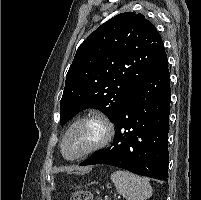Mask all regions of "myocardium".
Returning a JSON list of instances; mask_svg holds the SVG:
<instances>
[{
  "label": "myocardium",
  "mask_w": 201,
  "mask_h": 200,
  "mask_svg": "<svg viewBox=\"0 0 201 200\" xmlns=\"http://www.w3.org/2000/svg\"><path fill=\"white\" fill-rule=\"evenodd\" d=\"M89 122L95 123L100 126L101 131H102L101 137L93 146H91L89 149H87L83 153H81L75 157H68L65 153V145H66V141H67L69 134L78 125L83 124V123H89ZM114 135H115V127H114L112 121L107 116H105L104 114L99 113V112H91V113L85 114V115L81 116L80 118L76 119L65 132L64 137L62 139V143H61L62 155L65 159H67L69 161L80 160V159H82L92 153H95L101 149H104L105 147L110 145V143L114 139Z\"/></svg>",
  "instance_id": "myocardium-1"
}]
</instances>
